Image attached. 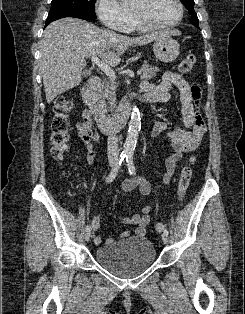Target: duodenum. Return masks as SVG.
<instances>
[{"label": "duodenum", "mask_w": 245, "mask_h": 314, "mask_svg": "<svg viewBox=\"0 0 245 314\" xmlns=\"http://www.w3.org/2000/svg\"><path fill=\"white\" fill-rule=\"evenodd\" d=\"M100 86V78L92 75L88 79V83L81 91V99L86 107V113L95 121L98 129L103 133L114 132L122 129L133 108L134 97L124 98L114 115L106 116L95 99V93Z\"/></svg>", "instance_id": "410a0bca"}]
</instances>
